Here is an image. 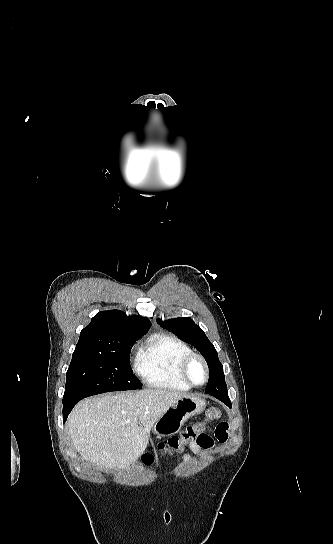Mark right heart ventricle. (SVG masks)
<instances>
[{
    "mask_svg": "<svg viewBox=\"0 0 333 544\" xmlns=\"http://www.w3.org/2000/svg\"><path fill=\"white\" fill-rule=\"evenodd\" d=\"M191 348L178 337L157 333L149 336L139 348L135 368L149 387L188 391L191 387L179 377L178 367Z\"/></svg>",
    "mask_w": 333,
    "mask_h": 544,
    "instance_id": "1",
    "label": "right heart ventricle"
}]
</instances>
